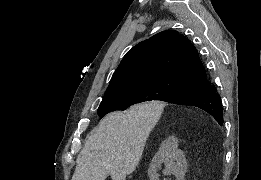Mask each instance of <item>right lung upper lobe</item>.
I'll return each mask as SVG.
<instances>
[{
	"label": "right lung upper lobe",
	"instance_id": "obj_1",
	"mask_svg": "<svg viewBox=\"0 0 261 180\" xmlns=\"http://www.w3.org/2000/svg\"><path fill=\"white\" fill-rule=\"evenodd\" d=\"M202 83L206 70L196 48L177 31H163L134 46L114 72L106 93L159 80Z\"/></svg>",
	"mask_w": 261,
	"mask_h": 180
}]
</instances>
